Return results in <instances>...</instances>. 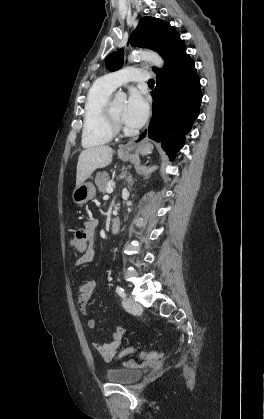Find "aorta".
Returning <instances> with one entry per match:
<instances>
[{
	"label": "aorta",
	"instance_id": "1",
	"mask_svg": "<svg viewBox=\"0 0 264 419\" xmlns=\"http://www.w3.org/2000/svg\"><path fill=\"white\" fill-rule=\"evenodd\" d=\"M139 60H145L149 63H151L152 65L161 68L164 65V61L162 59V57L154 52V51H150V50H143V51H134L129 57H128V61L130 62H136ZM116 100L118 101H125L126 100V94L123 92H119L116 94Z\"/></svg>",
	"mask_w": 264,
	"mask_h": 419
}]
</instances>
